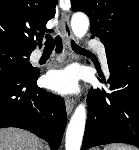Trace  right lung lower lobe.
<instances>
[{"instance_id":"1","label":"right lung lower lobe","mask_w":139,"mask_h":150,"mask_svg":"<svg viewBox=\"0 0 139 150\" xmlns=\"http://www.w3.org/2000/svg\"><path fill=\"white\" fill-rule=\"evenodd\" d=\"M56 50H61L60 38ZM38 76L36 71L0 66V128L29 130L57 150L67 122L65 104L37 86Z\"/></svg>"}]
</instances>
